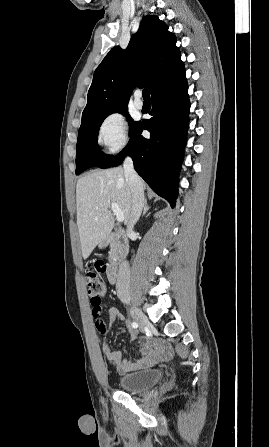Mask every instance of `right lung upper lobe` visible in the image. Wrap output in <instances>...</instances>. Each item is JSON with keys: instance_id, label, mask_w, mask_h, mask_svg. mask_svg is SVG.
Returning a JSON list of instances; mask_svg holds the SVG:
<instances>
[{"instance_id": "cb5924a9", "label": "right lung upper lobe", "mask_w": 269, "mask_h": 447, "mask_svg": "<svg viewBox=\"0 0 269 447\" xmlns=\"http://www.w3.org/2000/svg\"><path fill=\"white\" fill-rule=\"evenodd\" d=\"M182 65L175 35L157 16H145L126 50L114 47L95 70L80 128L126 108L136 86L151 92Z\"/></svg>"}]
</instances>
